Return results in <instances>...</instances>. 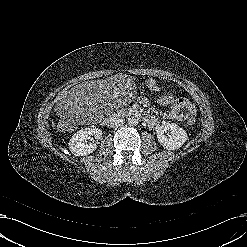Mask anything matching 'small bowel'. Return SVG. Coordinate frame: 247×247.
<instances>
[{"instance_id":"small-bowel-1","label":"small bowel","mask_w":247,"mask_h":247,"mask_svg":"<svg viewBox=\"0 0 247 247\" xmlns=\"http://www.w3.org/2000/svg\"><path fill=\"white\" fill-rule=\"evenodd\" d=\"M148 86L150 89H152L156 93H159V87L157 86L154 79L148 80ZM142 102L144 104L148 103L147 99H143ZM162 105L170 107V111L165 112L163 114V117L166 119H174V120L183 122L186 119H188L190 115H193L195 113V110L192 107V105L187 100L182 99V98L174 97V101L172 103H166ZM146 122L148 126L152 128L157 125V120L155 119L154 116H148L146 118Z\"/></svg>"}]
</instances>
